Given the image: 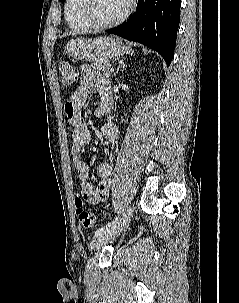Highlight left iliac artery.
<instances>
[{
    "label": "left iliac artery",
    "instance_id": "left-iliac-artery-1",
    "mask_svg": "<svg viewBox=\"0 0 239 303\" xmlns=\"http://www.w3.org/2000/svg\"><path fill=\"white\" fill-rule=\"evenodd\" d=\"M118 222V217H116L113 221L109 222L108 224H106L105 226L99 228L98 230H96L95 232V237L108 231L112 226H114L116 223Z\"/></svg>",
    "mask_w": 239,
    "mask_h": 303
}]
</instances>
